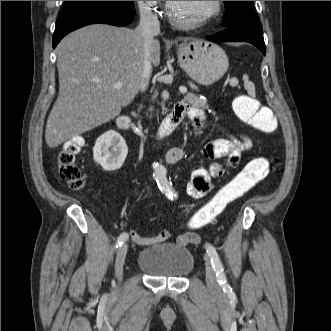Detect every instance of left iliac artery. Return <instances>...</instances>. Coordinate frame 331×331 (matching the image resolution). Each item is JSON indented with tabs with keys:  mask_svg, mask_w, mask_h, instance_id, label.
<instances>
[{
	"mask_svg": "<svg viewBox=\"0 0 331 331\" xmlns=\"http://www.w3.org/2000/svg\"><path fill=\"white\" fill-rule=\"evenodd\" d=\"M154 178L157 181L159 189L163 190L164 193H166V196H168L169 198H171L173 200V196L176 197V193H173L174 191L171 187L172 184L167 180V178L165 177V174L162 172H156L154 174ZM206 250L211 259L212 266L216 272L217 281L224 289H227L229 286H228L227 279H226V276L224 273L223 265L220 261V258H219V255H218L216 249L211 244H207Z\"/></svg>",
	"mask_w": 331,
	"mask_h": 331,
	"instance_id": "obj_1",
	"label": "left iliac artery"
}]
</instances>
